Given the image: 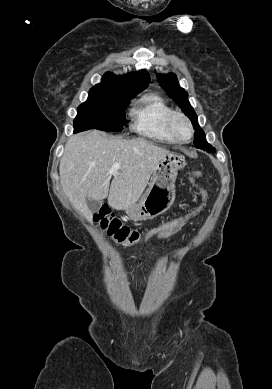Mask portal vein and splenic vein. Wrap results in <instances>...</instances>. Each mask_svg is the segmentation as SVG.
<instances>
[{
	"instance_id": "obj_1",
	"label": "portal vein and splenic vein",
	"mask_w": 272,
	"mask_h": 389,
	"mask_svg": "<svg viewBox=\"0 0 272 389\" xmlns=\"http://www.w3.org/2000/svg\"><path fill=\"white\" fill-rule=\"evenodd\" d=\"M120 168L119 163H114L113 166L109 169L108 173L109 174H119L118 170Z\"/></svg>"
}]
</instances>
